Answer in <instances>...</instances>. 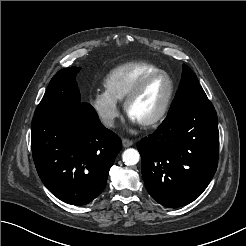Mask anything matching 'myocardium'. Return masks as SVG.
I'll return each instance as SVG.
<instances>
[{
  "instance_id": "1",
  "label": "myocardium",
  "mask_w": 246,
  "mask_h": 246,
  "mask_svg": "<svg viewBox=\"0 0 246 246\" xmlns=\"http://www.w3.org/2000/svg\"><path fill=\"white\" fill-rule=\"evenodd\" d=\"M159 76H165L170 83V91L168 94V97L161 109V111L151 120L144 122V123H140V125L143 128H153L157 125H159L167 116L174 96H175V82L173 80V78L171 77V75L169 73H167L164 70H159V71H155L152 73H149L147 75H145L143 78H141L137 84L133 87V89L129 92V94L126 96L125 100H124V110L126 112L127 115H129V109L130 106L132 105V103L135 101V99L141 94V92L144 90V88L148 85L149 82H151L153 79L159 77Z\"/></svg>"
}]
</instances>
